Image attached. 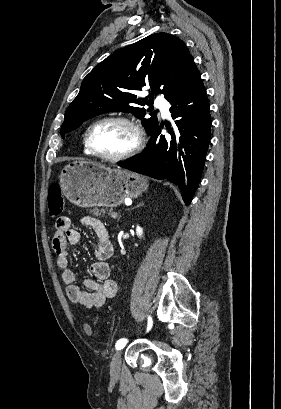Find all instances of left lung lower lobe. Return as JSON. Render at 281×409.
<instances>
[{
	"mask_svg": "<svg viewBox=\"0 0 281 409\" xmlns=\"http://www.w3.org/2000/svg\"><path fill=\"white\" fill-rule=\"evenodd\" d=\"M170 104L171 116L181 135L179 144L176 146L170 125L166 127L172 140L160 135L163 126L158 125L150 135L147 148L119 166L177 184L185 204L189 205L201 179L211 135L210 106L198 70Z\"/></svg>",
	"mask_w": 281,
	"mask_h": 409,
	"instance_id": "0a47b994",
	"label": "left lung lower lobe"
}]
</instances>
